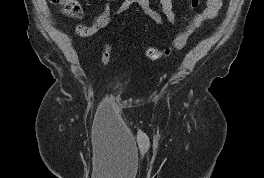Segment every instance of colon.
<instances>
[{"label": "colon", "instance_id": "obj_1", "mask_svg": "<svg viewBox=\"0 0 264 178\" xmlns=\"http://www.w3.org/2000/svg\"><path fill=\"white\" fill-rule=\"evenodd\" d=\"M52 4L62 9V11L72 17H77L81 14V6L77 0H50ZM199 0H192L191 7L195 8L198 5ZM192 32L188 29L179 32L173 39L170 46L166 48L147 47L145 49V55L150 60H158L160 58L168 56L174 49H182L188 43V40ZM111 47L105 45L101 52V58L104 63H108L111 59Z\"/></svg>", "mask_w": 264, "mask_h": 178}]
</instances>
